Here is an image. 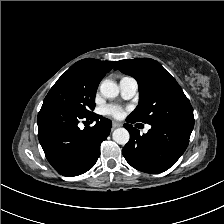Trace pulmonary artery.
I'll use <instances>...</instances> for the list:
<instances>
[{"label": "pulmonary artery", "instance_id": "1", "mask_svg": "<svg viewBox=\"0 0 224 224\" xmlns=\"http://www.w3.org/2000/svg\"><path fill=\"white\" fill-rule=\"evenodd\" d=\"M120 94L123 99H131L137 94L138 83L132 77H123L119 82ZM150 127L147 126L146 130Z\"/></svg>", "mask_w": 224, "mask_h": 224}]
</instances>
